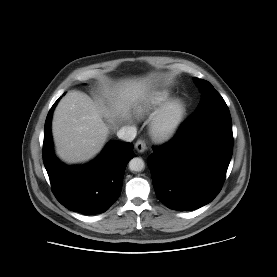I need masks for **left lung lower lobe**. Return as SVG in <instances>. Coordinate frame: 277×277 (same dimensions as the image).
<instances>
[{"mask_svg": "<svg viewBox=\"0 0 277 277\" xmlns=\"http://www.w3.org/2000/svg\"><path fill=\"white\" fill-rule=\"evenodd\" d=\"M147 163L156 196L168 208L191 211L220 192L233 152L227 105L192 114L169 143L154 148Z\"/></svg>", "mask_w": 277, "mask_h": 277, "instance_id": "1", "label": "left lung lower lobe"}]
</instances>
